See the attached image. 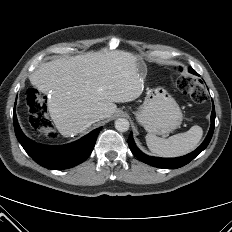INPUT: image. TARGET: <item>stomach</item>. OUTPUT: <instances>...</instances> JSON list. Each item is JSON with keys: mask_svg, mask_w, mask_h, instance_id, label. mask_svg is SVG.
Segmentation results:
<instances>
[{"mask_svg": "<svg viewBox=\"0 0 232 232\" xmlns=\"http://www.w3.org/2000/svg\"><path fill=\"white\" fill-rule=\"evenodd\" d=\"M139 64L144 66L142 60ZM137 122L153 135H164L177 129L183 119L175 99L164 89H152L135 113Z\"/></svg>", "mask_w": 232, "mask_h": 232, "instance_id": "obj_1", "label": "stomach"}]
</instances>
